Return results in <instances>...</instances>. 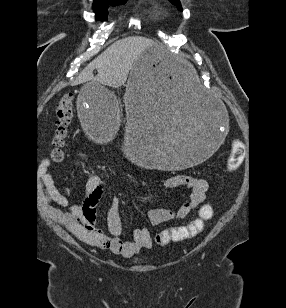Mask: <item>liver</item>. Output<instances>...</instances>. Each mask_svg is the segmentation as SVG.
<instances>
[{"mask_svg":"<svg viewBox=\"0 0 286 308\" xmlns=\"http://www.w3.org/2000/svg\"><path fill=\"white\" fill-rule=\"evenodd\" d=\"M150 47L159 49L163 54L166 53L155 41L145 37L132 36L118 40L89 63L77 76L73 85L93 80L109 87L119 88L126 82L134 62ZM178 61L189 66L181 57ZM94 69L98 72L96 76L93 74Z\"/></svg>","mask_w":286,"mask_h":308,"instance_id":"6515ba94","label":"liver"}]
</instances>
